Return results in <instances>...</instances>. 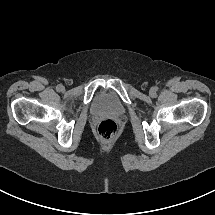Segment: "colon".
Returning a JSON list of instances; mask_svg holds the SVG:
<instances>
[{"mask_svg": "<svg viewBox=\"0 0 215 215\" xmlns=\"http://www.w3.org/2000/svg\"><path fill=\"white\" fill-rule=\"evenodd\" d=\"M117 132L118 125L115 121L111 119L103 120L98 125V133L105 140H110L114 138Z\"/></svg>", "mask_w": 215, "mask_h": 215, "instance_id": "5ec220e1", "label": "colon"}]
</instances>
